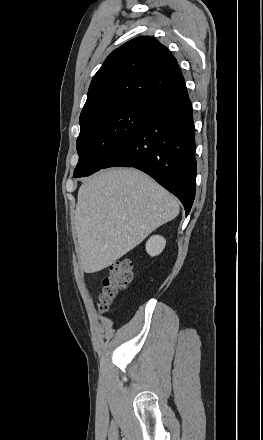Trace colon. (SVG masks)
Returning <instances> with one entry per match:
<instances>
[{
    "instance_id": "obj_1",
    "label": "colon",
    "mask_w": 263,
    "mask_h": 440,
    "mask_svg": "<svg viewBox=\"0 0 263 440\" xmlns=\"http://www.w3.org/2000/svg\"><path fill=\"white\" fill-rule=\"evenodd\" d=\"M132 264L128 260H119L109 266L108 275L103 280V290L98 297V308L107 312L118 294L127 289L132 281Z\"/></svg>"
}]
</instances>
